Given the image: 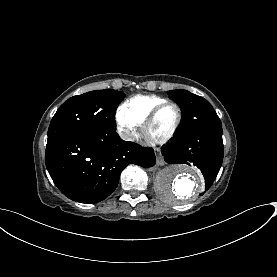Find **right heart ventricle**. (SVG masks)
Wrapping results in <instances>:
<instances>
[{"mask_svg": "<svg viewBox=\"0 0 277 277\" xmlns=\"http://www.w3.org/2000/svg\"><path fill=\"white\" fill-rule=\"evenodd\" d=\"M168 101L158 96H134L119 109V116L132 120L137 125L143 124L151 111L160 103Z\"/></svg>", "mask_w": 277, "mask_h": 277, "instance_id": "obj_1", "label": "right heart ventricle"}]
</instances>
